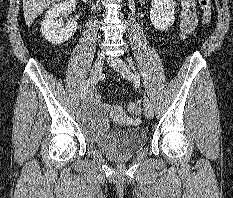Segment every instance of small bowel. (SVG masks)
<instances>
[{"label": "small bowel", "instance_id": "1", "mask_svg": "<svg viewBox=\"0 0 233 198\" xmlns=\"http://www.w3.org/2000/svg\"><path fill=\"white\" fill-rule=\"evenodd\" d=\"M181 8L180 31L182 35L191 33L197 24V9L195 0H178ZM121 113L119 108H116Z\"/></svg>", "mask_w": 233, "mask_h": 198}]
</instances>
